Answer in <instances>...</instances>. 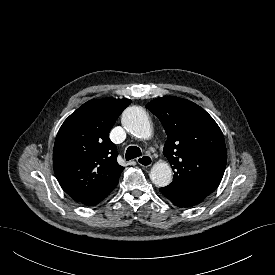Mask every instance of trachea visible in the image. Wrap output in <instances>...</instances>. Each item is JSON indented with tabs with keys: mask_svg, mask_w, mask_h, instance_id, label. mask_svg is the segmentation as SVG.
<instances>
[{
	"mask_svg": "<svg viewBox=\"0 0 275 275\" xmlns=\"http://www.w3.org/2000/svg\"><path fill=\"white\" fill-rule=\"evenodd\" d=\"M141 155H142V152L140 148H138L137 146H130L127 148L125 158L128 161L136 157H139Z\"/></svg>",
	"mask_w": 275,
	"mask_h": 275,
	"instance_id": "1",
	"label": "trachea"
}]
</instances>
